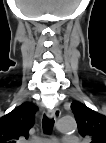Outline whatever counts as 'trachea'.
<instances>
[{"label":"trachea","instance_id":"trachea-1","mask_svg":"<svg viewBox=\"0 0 106 143\" xmlns=\"http://www.w3.org/2000/svg\"><path fill=\"white\" fill-rule=\"evenodd\" d=\"M54 126V119H49L47 116H43L42 127L45 134H50Z\"/></svg>","mask_w":106,"mask_h":143}]
</instances>
